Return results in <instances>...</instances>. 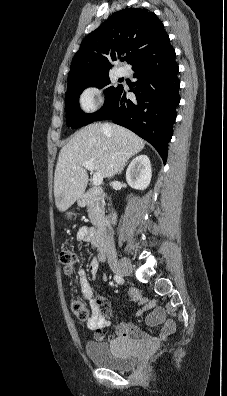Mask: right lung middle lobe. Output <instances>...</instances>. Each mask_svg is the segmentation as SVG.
I'll return each instance as SVG.
<instances>
[{
    "label": "right lung middle lobe",
    "instance_id": "right-lung-middle-lobe-1",
    "mask_svg": "<svg viewBox=\"0 0 227 396\" xmlns=\"http://www.w3.org/2000/svg\"><path fill=\"white\" fill-rule=\"evenodd\" d=\"M110 84L109 74H105L93 79L82 81L67 89L66 93V121L67 126L79 128L92 123L97 114L112 100L115 94L120 90L122 85L117 87H108L105 89V104L101 110L93 114H85L79 107V96L82 91L88 87L96 86L102 88Z\"/></svg>",
    "mask_w": 227,
    "mask_h": 396
}]
</instances>
